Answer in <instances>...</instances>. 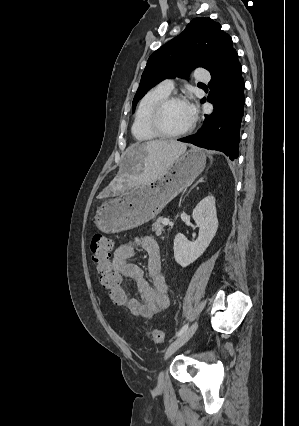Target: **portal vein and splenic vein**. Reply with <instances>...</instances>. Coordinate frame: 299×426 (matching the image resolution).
Wrapping results in <instances>:
<instances>
[{
	"mask_svg": "<svg viewBox=\"0 0 299 426\" xmlns=\"http://www.w3.org/2000/svg\"><path fill=\"white\" fill-rule=\"evenodd\" d=\"M169 219L168 218H164L163 220H162V223L164 224V225H168L169 224Z\"/></svg>",
	"mask_w": 299,
	"mask_h": 426,
	"instance_id": "18ae733b",
	"label": "portal vein and splenic vein"
}]
</instances>
